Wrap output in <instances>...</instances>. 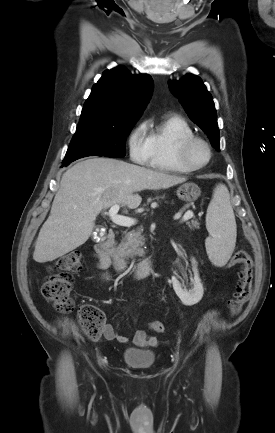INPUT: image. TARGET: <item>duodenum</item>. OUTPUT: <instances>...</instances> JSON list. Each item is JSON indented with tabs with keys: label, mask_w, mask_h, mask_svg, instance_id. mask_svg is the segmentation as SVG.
Here are the masks:
<instances>
[{
	"label": "duodenum",
	"mask_w": 275,
	"mask_h": 433,
	"mask_svg": "<svg viewBox=\"0 0 275 433\" xmlns=\"http://www.w3.org/2000/svg\"><path fill=\"white\" fill-rule=\"evenodd\" d=\"M115 232L109 229L104 240H96V252L108 260L118 273H126L131 270V273L136 278H143L150 275L155 269V259L148 258L138 262L132 267H129L123 257L116 251L114 247Z\"/></svg>",
	"instance_id": "obj_1"
}]
</instances>
